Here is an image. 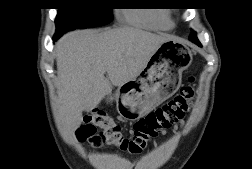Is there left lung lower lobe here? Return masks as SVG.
I'll return each instance as SVG.
<instances>
[{
  "mask_svg": "<svg viewBox=\"0 0 252 169\" xmlns=\"http://www.w3.org/2000/svg\"><path fill=\"white\" fill-rule=\"evenodd\" d=\"M190 40H191L192 42H194L195 44H197L198 46L201 47V44H200L199 40L197 39V37L191 38Z\"/></svg>",
  "mask_w": 252,
  "mask_h": 169,
  "instance_id": "left-lung-lower-lobe-1",
  "label": "left lung lower lobe"
}]
</instances>
